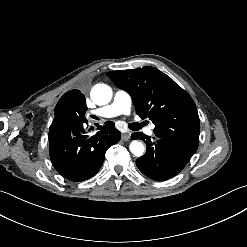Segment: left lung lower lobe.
I'll list each match as a JSON object with an SVG mask.
<instances>
[{"label":"left lung lower lobe","mask_w":247,"mask_h":247,"mask_svg":"<svg viewBox=\"0 0 247 247\" xmlns=\"http://www.w3.org/2000/svg\"><path fill=\"white\" fill-rule=\"evenodd\" d=\"M132 139H142L147 145V152L136 160L139 170L147 177L164 181L177 175L188 163L195 151L164 138L152 142L150 137L136 132Z\"/></svg>","instance_id":"1"}]
</instances>
